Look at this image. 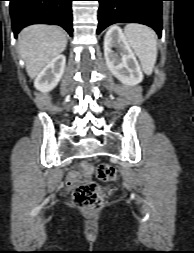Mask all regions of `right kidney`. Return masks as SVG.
I'll list each match as a JSON object with an SVG mask.
<instances>
[{"mask_svg":"<svg viewBox=\"0 0 194 253\" xmlns=\"http://www.w3.org/2000/svg\"><path fill=\"white\" fill-rule=\"evenodd\" d=\"M66 58L58 55L38 74L34 81L37 90L45 93L54 89L63 76Z\"/></svg>","mask_w":194,"mask_h":253,"instance_id":"obj_1","label":"right kidney"}]
</instances>
